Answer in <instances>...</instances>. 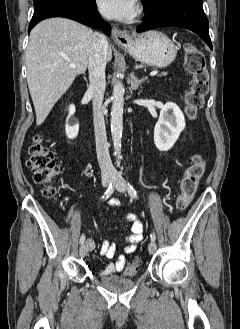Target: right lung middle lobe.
<instances>
[{"instance_id":"dd1d6c3e","label":"right lung middle lobe","mask_w":240,"mask_h":329,"mask_svg":"<svg viewBox=\"0 0 240 329\" xmlns=\"http://www.w3.org/2000/svg\"><path fill=\"white\" fill-rule=\"evenodd\" d=\"M69 1L77 2V3H81V2H87V1H89V0H69Z\"/></svg>"}]
</instances>
